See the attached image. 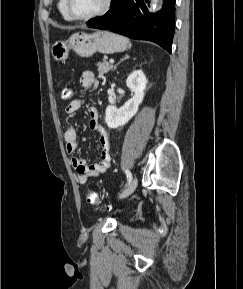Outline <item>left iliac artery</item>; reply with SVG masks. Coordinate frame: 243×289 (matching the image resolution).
I'll list each match as a JSON object with an SVG mask.
<instances>
[{"mask_svg": "<svg viewBox=\"0 0 243 289\" xmlns=\"http://www.w3.org/2000/svg\"><path fill=\"white\" fill-rule=\"evenodd\" d=\"M125 173L127 176V184H129L132 181V174L129 170H126Z\"/></svg>", "mask_w": 243, "mask_h": 289, "instance_id": "1", "label": "left iliac artery"}]
</instances>
